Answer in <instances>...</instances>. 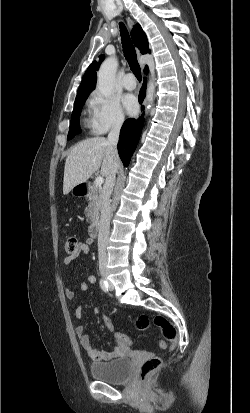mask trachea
<instances>
[{"label": "trachea", "instance_id": "obj_1", "mask_svg": "<svg viewBox=\"0 0 250 413\" xmlns=\"http://www.w3.org/2000/svg\"><path fill=\"white\" fill-rule=\"evenodd\" d=\"M120 33L124 56L138 81H141V69L137 61L135 48L130 40L127 29L123 23H120Z\"/></svg>", "mask_w": 250, "mask_h": 413}]
</instances>
